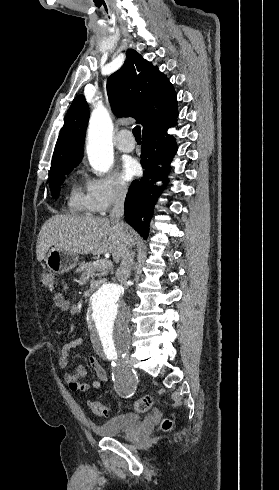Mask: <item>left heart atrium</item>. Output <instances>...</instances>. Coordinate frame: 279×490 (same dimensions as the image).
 <instances>
[{
    "label": "left heart atrium",
    "mask_w": 279,
    "mask_h": 490,
    "mask_svg": "<svg viewBox=\"0 0 279 490\" xmlns=\"http://www.w3.org/2000/svg\"><path fill=\"white\" fill-rule=\"evenodd\" d=\"M139 171L138 162L132 157H126L122 162V177L125 181H130Z\"/></svg>",
    "instance_id": "39dd6f15"
}]
</instances>
